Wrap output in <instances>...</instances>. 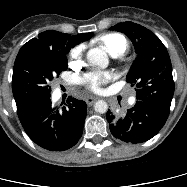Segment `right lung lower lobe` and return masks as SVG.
Listing matches in <instances>:
<instances>
[{
    "mask_svg": "<svg viewBox=\"0 0 187 187\" xmlns=\"http://www.w3.org/2000/svg\"><path fill=\"white\" fill-rule=\"evenodd\" d=\"M87 105L69 97L65 106L54 107L50 94L17 105V114L26 134L40 147L64 151L82 136Z\"/></svg>",
    "mask_w": 187,
    "mask_h": 187,
    "instance_id": "1",
    "label": "right lung lower lobe"
}]
</instances>
